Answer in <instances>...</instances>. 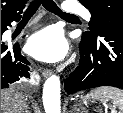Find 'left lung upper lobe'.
I'll list each match as a JSON object with an SVG mask.
<instances>
[{
	"label": "left lung upper lobe",
	"instance_id": "left-lung-upper-lobe-1",
	"mask_svg": "<svg viewBox=\"0 0 123 113\" xmlns=\"http://www.w3.org/2000/svg\"><path fill=\"white\" fill-rule=\"evenodd\" d=\"M91 12L89 30L82 34V38H95L101 19L114 16L123 22V0H79Z\"/></svg>",
	"mask_w": 123,
	"mask_h": 113
}]
</instances>
